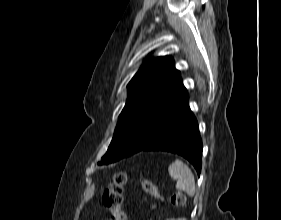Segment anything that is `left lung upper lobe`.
I'll list each match as a JSON object with an SVG mask.
<instances>
[{
    "label": "left lung upper lobe",
    "mask_w": 281,
    "mask_h": 220,
    "mask_svg": "<svg viewBox=\"0 0 281 220\" xmlns=\"http://www.w3.org/2000/svg\"><path fill=\"white\" fill-rule=\"evenodd\" d=\"M127 87L128 99L99 164L131 156L149 143L167 112L186 91L170 56L146 60Z\"/></svg>",
    "instance_id": "obj_1"
}]
</instances>
